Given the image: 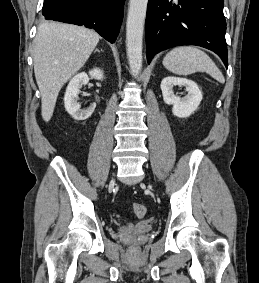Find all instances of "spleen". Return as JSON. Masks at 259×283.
I'll list each match as a JSON object with an SVG mask.
<instances>
[{
  "label": "spleen",
  "mask_w": 259,
  "mask_h": 283,
  "mask_svg": "<svg viewBox=\"0 0 259 283\" xmlns=\"http://www.w3.org/2000/svg\"><path fill=\"white\" fill-rule=\"evenodd\" d=\"M163 65L176 75L187 76L195 72H206L220 83L225 79L212 59L203 51L192 46L172 49L163 59Z\"/></svg>",
  "instance_id": "spleen-1"
}]
</instances>
